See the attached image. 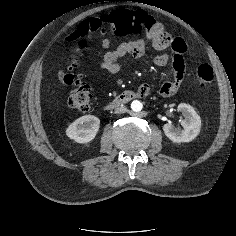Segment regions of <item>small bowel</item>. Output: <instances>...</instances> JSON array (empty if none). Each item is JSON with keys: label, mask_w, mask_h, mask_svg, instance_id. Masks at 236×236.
Here are the masks:
<instances>
[{"label": "small bowel", "mask_w": 236, "mask_h": 236, "mask_svg": "<svg viewBox=\"0 0 236 236\" xmlns=\"http://www.w3.org/2000/svg\"><path fill=\"white\" fill-rule=\"evenodd\" d=\"M160 27V24L157 23ZM146 40L157 51H164L170 48L173 54L170 56L166 52L156 53L151 55V60L158 67H165L170 62L173 69V77L171 80L165 81L160 87V94L168 97L174 95L181 86L185 76V59L184 54L188 49L187 42L181 37L171 38L166 41L164 37L156 34L153 31H148ZM101 47L105 50L101 68L109 74L115 75L120 72L121 61L127 56L139 58L146 52V42L143 39H136L121 42L115 49H110L111 41L109 38L101 40ZM59 79L63 80L64 75L58 72ZM138 92L141 96H147L150 92L148 85L143 84L139 87Z\"/></svg>", "instance_id": "1"}]
</instances>
